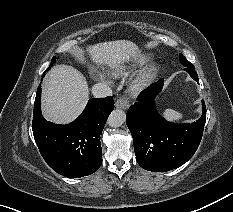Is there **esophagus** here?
Masks as SVG:
<instances>
[{"instance_id": "obj_1", "label": "esophagus", "mask_w": 233, "mask_h": 212, "mask_svg": "<svg viewBox=\"0 0 233 212\" xmlns=\"http://www.w3.org/2000/svg\"><path fill=\"white\" fill-rule=\"evenodd\" d=\"M115 107L126 110L129 108V102L125 97H120L116 100Z\"/></svg>"}]
</instances>
